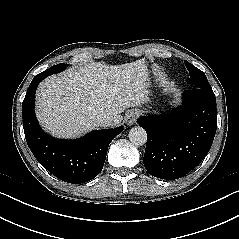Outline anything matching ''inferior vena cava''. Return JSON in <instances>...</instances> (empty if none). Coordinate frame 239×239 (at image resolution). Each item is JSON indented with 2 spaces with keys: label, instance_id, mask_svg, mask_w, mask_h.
<instances>
[{
  "label": "inferior vena cava",
  "instance_id": "obj_1",
  "mask_svg": "<svg viewBox=\"0 0 239 239\" xmlns=\"http://www.w3.org/2000/svg\"><path fill=\"white\" fill-rule=\"evenodd\" d=\"M96 121L99 126L105 127V126L111 125L113 119L106 115H99V116H97Z\"/></svg>",
  "mask_w": 239,
  "mask_h": 239
}]
</instances>
